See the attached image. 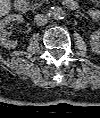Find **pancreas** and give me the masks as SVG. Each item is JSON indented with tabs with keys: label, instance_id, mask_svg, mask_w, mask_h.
Wrapping results in <instances>:
<instances>
[{
	"label": "pancreas",
	"instance_id": "pancreas-1",
	"mask_svg": "<svg viewBox=\"0 0 100 118\" xmlns=\"http://www.w3.org/2000/svg\"><path fill=\"white\" fill-rule=\"evenodd\" d=\"M46 1H47V0H41V2H40V3H36V4L33 6V8H34V9L38 8L39 6L42 5L43 2H46Z\"/></svg>",
	"mask_w": 100,
	"mask_h": 118
}]
</instances>
